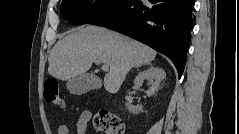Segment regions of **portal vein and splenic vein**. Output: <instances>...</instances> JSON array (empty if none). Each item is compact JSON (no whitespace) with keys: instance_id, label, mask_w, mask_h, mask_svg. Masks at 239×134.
I'll return each instance as SVG.
<instances>
[{"instance_id":"obj_1","label":"portal vein and splenic vein","mask_w":239,"mask_h":134,"mask_svg":"<svg viewBox=\"0 0 239 134\" xmlns=\"http://www.w3.org/2000/svg\"><path fill=\"white\" fill-rule=\"evenodd\" d=\"M102 70L108 71L109 70V66L107 64L103 63Z\"/></svg>"}]
</instances>
